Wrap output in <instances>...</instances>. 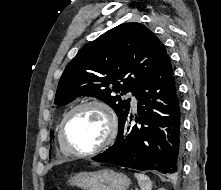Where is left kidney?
Masks as SVG:
<instances>
[{
  "label": "left kidney",
  "mask_w": 221,
  "mask_h": 190,
  "mask_svg": "<svg viewBox=\"0 0 221 190\" xmlns=\"http://www.w3.org/2000/svg\"><path fill=\"white\" fill-rule=\"evenodd\" d=\"M158 190H166V189H164V188H160V189H158Z\"/></svg>",
  "instance_id": "5707ae66"
}]
</instances>
